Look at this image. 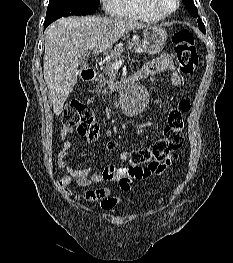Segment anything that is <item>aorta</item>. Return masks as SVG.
Instances as JSON below:
<instances>
[{
    "label": "aorta",
    "instance_id": "obj_1",
    "mask_svg": "<svg viewBox=\"0 0 233 263\" xmlns=\"http://www.w3.org/2000/svg\"><path fill=\"white\" fill-rule=\"evenodd\" d=\"M122 105L130 115H137L145 108V92L138 84L128 85L123 93Z\"/></svg>",
    "mask_w": 233,
    "mask_h": 263
}]
</instances>
